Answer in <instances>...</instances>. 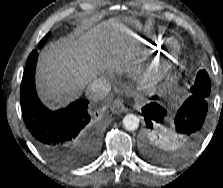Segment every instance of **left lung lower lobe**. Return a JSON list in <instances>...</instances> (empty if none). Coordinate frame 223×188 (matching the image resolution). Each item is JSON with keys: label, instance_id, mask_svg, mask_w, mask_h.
<instances>
[{"label": "left lung lower lobe", "instance_id": "1", "mask_svg": "<svg viewBox=\"0 0 223 188\" xmlns=\"http://www.w3.org/2000/svg\"><path fill=\"white\" fill-rule=\"evenodd\" d=\"M161 103L162 100L158 96H154L152 101L142 108L146 128L154 129L165 124L167 111ZM207 109V99L191 95L177 111L174 126L168 130L177 136L185 150H191L199 139Z\"/></svg>", "mask_w": 223, "mask_h": 188}]
</instances>
